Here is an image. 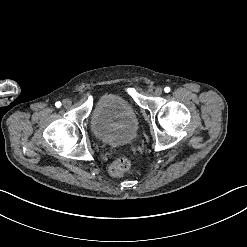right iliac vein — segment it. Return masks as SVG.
I'll return each instance as SVG.
<instances>
[{"label": "right iliac vein", "instance_id": "63e3f726", "mask_svg": "<svg viewBox=\"0 0 247 247\" xmlns=\"http://www.w3.org/2000/svg\"><path fill=\"white\" fill-rule=\"evenodd\" d=\"M71 100L70 99H65L64 101H63V106L65 107V108H68V107H70L71 106Z\"/></svg>", "mask_w": 247, "mask_h": 247}]
</instances>
